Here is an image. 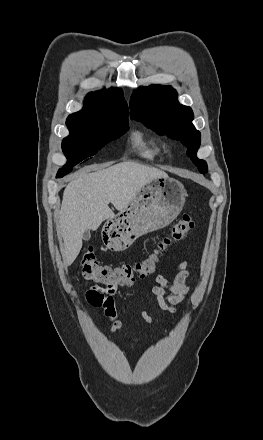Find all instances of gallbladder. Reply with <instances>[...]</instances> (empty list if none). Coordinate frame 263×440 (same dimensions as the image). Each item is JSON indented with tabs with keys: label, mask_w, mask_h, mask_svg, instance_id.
<instances>
[{
	"label": "gallbladder",
	"mask_w": 263,
	"mask_h": 440,
	"mask_svg": "<svg viewBox=\"0 0 263 440\" xmlns=\"http://www.w3.org/2000/svg\"><path fill=\"white\" fill-rule=\"evenodd\" d=\"M91 237L90 231L86 230L83 234V240L88 241Z\"/></svg>",
	"instance_id": "bac80fb5"
}]
</instances>
